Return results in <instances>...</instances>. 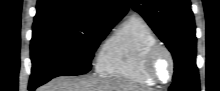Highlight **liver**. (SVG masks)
Returning <instances> with one entry per match:
<instances>
[{
  "label": "liver",
  "mask_w": 220,
  "mask_h": 91,
  "mask_svg": "<svg viewBox=\"0 0 220 91\" xmlns=\"http://www.w3.org/2000/svg\"><path fill=\"white\" fill-rule=\"evenodd\" d=\"M38 91H144L140 87L123 80L104 77H57Z\"/></svg>",
  "instance_id": "1"
}]
</instances>
